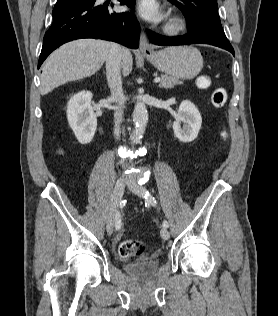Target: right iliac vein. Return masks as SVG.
Instances as JSON below:
<instances>
[{"label":"right iliac vein","instance_id":"1","mask_svg":"<svg viewBox=\"0 0 278 316\" xmlns=\"http://www.w3.org/2000/svg\"><path fill=\"white\" fill-rule=\"evenodd\" d=\"M124 191V181L123 179H118L115 187L113 189V194L111 198L110 209L107 216L106 229L107 233L111 235L113 233L114 222L116 218L117 208L121 202Z\"/></svg>","mask_w":278,"mask_h":316}]
</instances>
